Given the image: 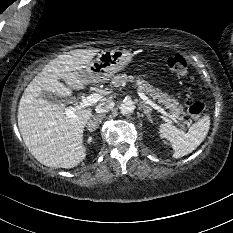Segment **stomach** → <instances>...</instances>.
<instances>
[{
	"instance_id": "stomach-1",
	"label": "stomach",
	"mask_w": 233,
	"mask_h": 233,
	"mask_svg": "<svg viewBox=\"0 0 233 233\" xmlns=\"http://www.w3.org/2000/svg\"><path fill=\"white\" fill-rule=\"evenodd\" d=\"M132 58L133 54L130 50H103L84 70V77L92 82L107 80L123 70Z\"/></svg>"
}]
</instances>
